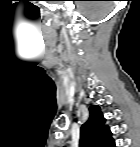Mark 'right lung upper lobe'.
Returning <instances> with one entry per match:
<instances>
[{
	"label": "right lung upper lobe",
	"mask_w": 140,
	"mask_h": 147,
	"mask_svg": "<svg viewBox=\"0 0 140 147\" xmlns=\"http://www.w3.org/2000/svg\"><path fill=\"white\" fill-rule=\"evenodd\" d=\"M90 116L82 125L80 147H114L110 128L105 125V119L98 105L89 108Z\"/></svg>",
	"instance_id": "cb5924a9"
}]
</instances>
